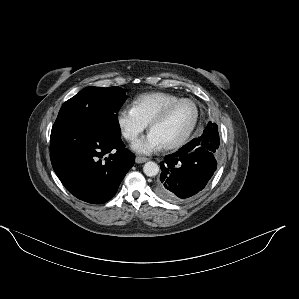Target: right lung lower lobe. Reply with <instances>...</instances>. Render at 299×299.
I'll use <instances>...</instances> for the list:
<instances>
[{"instance_id":"right-lung-lower-lobe-1","label":"right lung lower lobe","mask_w":299,"mask_h":299,"mask_svg":"<svg viewBox=\"0 0 299 299\" xmlns=\"http://www.w3.org/2000/svg\"><path fill=\"white\" fill-rule=\"evenodd\" d=\"M50 159L71 194L101 204L115 195L135 157L118 136L74 130L51 138Z\"/></svg>"}]
</instances>
